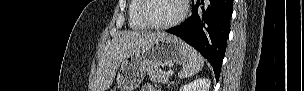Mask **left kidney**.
I'll return each mask as SVG.
<instances>
[{
    "mask_svg": "<svg viewBox=\"0 0 304 91\" xmlns=\"http://www.w3.org/2000/svg\"><path fill=\"white\" fill-rule=\"evenodd\" d=\"M211 81L208 78H199L180 88V91H209Z\"/></svg>",
    "mask_w": 304,
    "mask_h": 91,
    "instance_id": "left-kidney-1",
    "label": "left kidney"
}]
</instances>
